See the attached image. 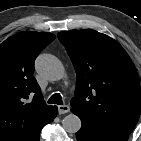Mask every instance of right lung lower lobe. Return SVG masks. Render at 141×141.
<instances>
[{
	"label": "right lung lower lobe",
	"mask_w": 141,
	"mask_h": 141,
	"mask_svg": "<svg viewBox=\"0 0 141 141\" xmlns=\"http://www.w3.org/2000/svg\"><path fill=\"white\" fill-rule=\"evenodd\" d=\"M57 115V107L53 106L52 112L50 117L48 118V120L35 132L34 135L31 136V138L28 141H39V135H40V131L43 128V126H45L46 124L52 122L54 120V118Z\"/></svg>",
	"instance_id": "obj_1"
}]
</instances>
